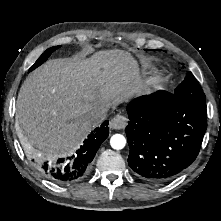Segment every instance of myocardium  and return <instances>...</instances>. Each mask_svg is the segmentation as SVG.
I'll use <instances>...</instances> for the list:
<instances>
[{"label": "myocardium", "instance_id": "obj_1", "mask_svg": "<svg viewBox=\"0 0 221 221\" xmlns=\"http://www.w3.org/2000/svg\"><path fill=\"white\" fill-rule=\"evenodd\" d=\"M162 81H163L162 76H161L160 74H156V75L152 78V80H151V82H150V86H151V87H156V86L160 85V84L162 83Z\"/></svg>", "mask_w": 221, "mask_h": 221}]
</instances>
